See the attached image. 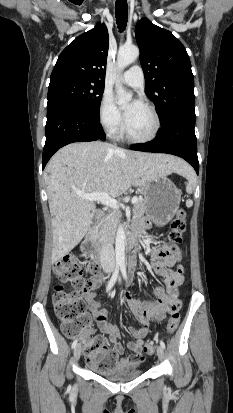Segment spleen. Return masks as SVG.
Wrapping results in <instances>:
<instances>
[{"instance_id":"spleen-1","label":"spleen","mask_w":233,"mask_h":413,"mask_svg":"<svg viewBox=\"0 0 233 413\" xmlns=\"http://www.w3.org/2000/svg\"><path fill=\"white\" fill-rule=\"evenodd\" d=\"M184 174L189 178V182L186 186V191L188 194H191L193 192V185L195 182L194 176L192 173L189 172H185Z\"/></svg>"}]
</instances>
